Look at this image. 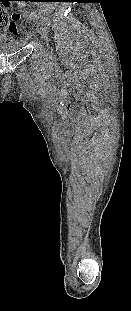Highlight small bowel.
I'll list each match as a JSON object with an SVG mask.
<instances>
[{
	"label": "small bowel",
	"mask_w": 131,
	"mask_h": 311,
	"mask_svg": "<svg viewBox=\"0 0 131 311\" xmlns=\"http://www.w3.org/2000/svg\"><path fill=\"white\" fill-rule=\"evenodd\" d=\"M20 31L13 26L3 28L0 30V43H5L12 39L10 34H13L15 36H18Z\"/></svg>",
	"instance_id": "1"
}]
</instances>
